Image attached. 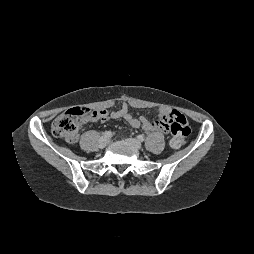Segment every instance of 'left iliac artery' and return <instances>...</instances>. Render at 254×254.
Segmentation results:
<instances>
[{"instance_id": "obj_1", "label": "left iliac artery", "mask_w": 254, "mask_h": 254, "mask_svg": "<svg viewBox=\"0 0 254 254\" xmlns=\"http://www.w3.org/2000/svg\"><path fill=\"white\" fill-rule=\"evenodd\" d=\"M137 139L141 142H143L145 140V137L143 135H138Z\"/></svg>"}]
</instances>
